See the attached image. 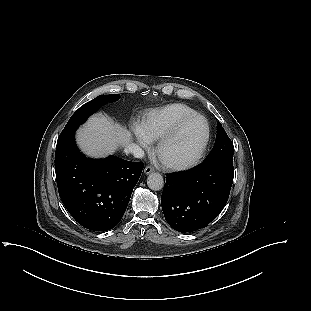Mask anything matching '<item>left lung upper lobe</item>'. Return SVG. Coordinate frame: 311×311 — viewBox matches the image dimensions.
I'll list each match as a JSON object with an SVG mask.
<instances>
[{
	"label": "left lung upper lobe",
	"instance_id": "obj_1",
	"mask_svg": "<svg viewBox=\"0 0 311 311\" xmlns=\"http://www.w3.org/2000/svg\"><path fill=\"white\" fill-rule=\"evenodd\" d=\"M204 162H223L233 164V143L221 123L217 124L215 145Z\"/></svg>",
	"mask_w": 311,
	"mask_h": 311
}]
</instances>
